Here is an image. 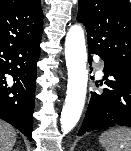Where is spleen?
I'll list each match as a JSON object with an SVG mask.
<instances>
[{
    "instance_id": "spleen-1",
    "label": "spleen",
    "mask_w": 131,
    "mask_h": 151,
    "mask_svg": "<svg viewBox=\"0 0 131 151\" xmlns=\"http://www.w3.org/2000/svg\"><path fill=\"white\" fill-rule=\"evenodd\" d=\"M99 142L105 151H131V130L127 128L106 130L100 135Z\"/></svg>"
}]
</instances>
